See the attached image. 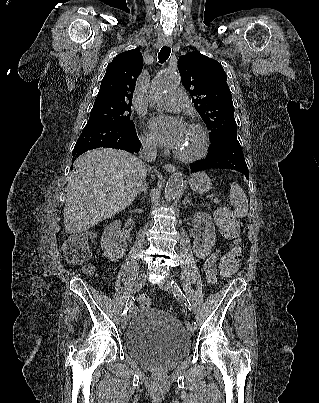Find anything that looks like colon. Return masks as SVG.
I'll list each match as a JSON object with an SVG mask.
<instances>
[{
	"mask_svg": "<svg viewBox=\"0 0 319 403\" xmlns=\"http://www.w3.org/2000/svg\"><path fill=\"white\" fill-rule=\"evenodd\" d=\"M219 227L222 236L229 242V249L220 261V273L233 274L242 260L241 229L234 216L225 210L220 211ZM63 254L70 265L82 267L87 274L93 273V266L89 263L88 237L85 233H77L66 239ZM138 304L140 308L148 309L151 307V300L145 295H140Z\"/></svg>",
	"mask_w": 319,
	"mask_h": 403,
	"instance_id": "5ec220e1",
	"label": "colon"
}]
</instances>
